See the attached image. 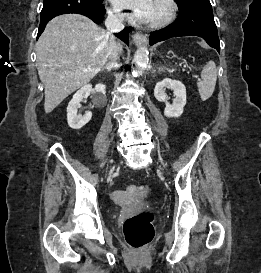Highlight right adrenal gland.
Segmentation results:
<instances>
[{
    "label": "right adrenal gland",
    "instance_id": "right-adrenal-gland-1",
    "mask_svg": "<svg viewBox=\"0 0 261 273\" xmlns=\"http://www.w3.org/2000/svg\"><path fill=\"white\" fill-rule=\"evenodd\" d=\"M104 69H106L107 71H111V67H109L108 65H106L105 67L102 68V71H104Z\"/></svg>",
    "mask_w": 261,
    "mask_h": 273
}]
</instances>
